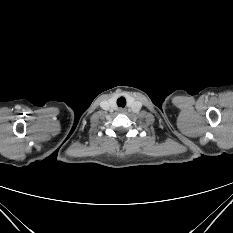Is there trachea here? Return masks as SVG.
<instances>
[{
  "mask_svg": "<svg viewBox=\"0 0 233 233\" xmlns=\"http://www.w3.org/2000/svg\"><path fill=\"white\" fill-rule=\"evenodd\" d=\"M117 104H118V106L119 107H125V104H126V100H125V98L124 97H121V98H119L118 100H117Z\"/></svg>",
  "mask_w": 233,
  "mask_h": 233,
  "instance_id": "1",
  "label": "trachea"
}]
</instances>
